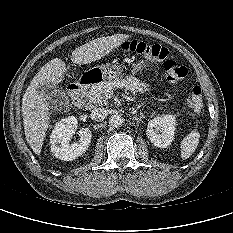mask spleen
<instances>
[{"mask_svg": "<svg viewBox=\"0 0 233 233\" xmlns=\"http://www.w3.org/2000/svg\"><path fill=\"white\" fill-rule=\"evenodd\" d=\"M200 134L197 131H192L181 141V158L188 159L196 150L199 144Z\"/></svg>", "mask_w": 233, "mask_h": 233, "instance_id": "spleen-1", "label": "spleen"}]
</instances>
